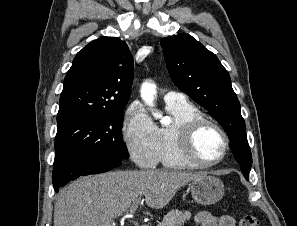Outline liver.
Listing matches in <instances>:
<instances>
[{
    "label": "liver",
    "mask_w": 297,
    "mask_h": 226,
    "mask_svg": "<svg viewBox=\"0 0 297 226\" xmlns=\"http://www.w3.org/2000/svg\"><path fill=\"white\" fill-rule=\"evenodd\" d=\"M205 176V173L140 170L80 178L60 192L54 207V226H113V219L139 196H145L150 208L161 209L180 187Z\"/></svg>",
    "instance_id": "obj_1"
}]
</instances>
